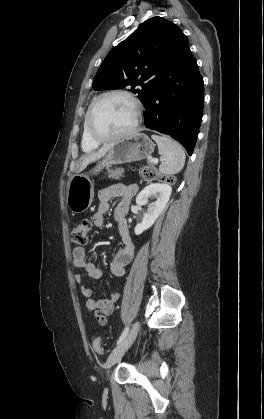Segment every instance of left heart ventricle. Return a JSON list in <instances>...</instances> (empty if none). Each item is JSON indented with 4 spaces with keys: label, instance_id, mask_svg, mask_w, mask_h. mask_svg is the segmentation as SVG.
<instances>
[{
    "label": "left heart ventricle",
    "instance_id": "obj_1",
    "mask_svg": "<svg viewBox=\"0 0 264 419\" xmlns=\"http://www.w3.org/2000/svg\"><path fill=\"white\" fill-rule=\"evenodd\" d=\"M134 115L135 108L129 99L119 95L109 96L97 105L92 125L96 133L111 136L129 129Z\"/></svg>",
    "mask_w": 264,
    "mask_h": 419
}]
</instances>
